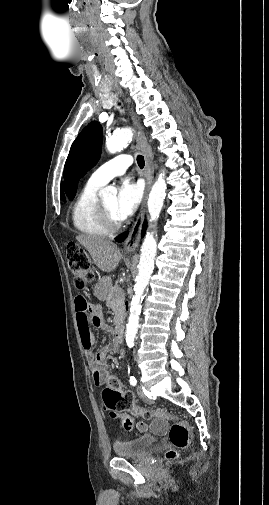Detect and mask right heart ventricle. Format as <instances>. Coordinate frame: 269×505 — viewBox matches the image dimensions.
Masks as SVG:
<instances>
[{
    "label": "right heart ventricle",
    "mask_w": 269,
    "mask_h": 505,
    "mask_svg": "<svg viewBox=\"0 0 269 505\" xmlns=\"http://www.w3.org/2000/svg\"><path fill=\"white\" fill-rule=\"evenodd\" d=\"M101 187L88 181L79 192L72 207L74 227L87 236L103 237L109 233L102 222L98 208V192Z\"/></svg>",
    "instance_id": "1"
}]
</instances>
